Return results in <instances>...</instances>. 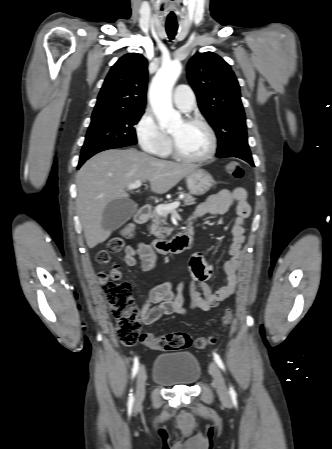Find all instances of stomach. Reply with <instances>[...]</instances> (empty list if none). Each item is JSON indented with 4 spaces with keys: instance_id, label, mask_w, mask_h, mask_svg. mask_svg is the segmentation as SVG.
Masks as SVG:
<instances>
[{
    "instance_id": "stomach-1",
    "label": "stomach",
    "mask_w": 332,
    "mask_h": 449,
    "mask_svg": "<svg viewBox=\"0 0 332 449\" xmlns=\"http://www.w3.org/2000/svg\"><path fill=\"white\" fill-rule=\"evenodd\" d=\"M186 182L189 192L196 196L206 194L214 185L212 176L204 169H195L187 176Z\"/></svg>"
}]
</instances>
